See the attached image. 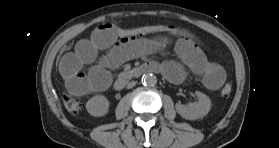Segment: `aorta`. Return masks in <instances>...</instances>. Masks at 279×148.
Here are the masks:
<instances>
[{
	"label": "aorta",
	"mask_w": 279,
	"mask_h": 148,
	"mask_svg": "<svg viewBox=\"0 0 279 148\" xmlns=\"http://www.w3.org/2000/svg\"><path fill=\"white\" fill-rule=\"evenodd\" d=\"M143 85L154 86L157 83V78L152 73H146L142 76Z\"/></svg>",
	"instance_id": "1"
}]
</instances>
